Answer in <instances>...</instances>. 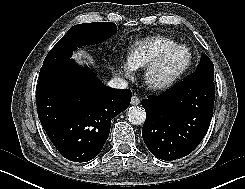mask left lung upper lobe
I'll use <instances>...</instances> for the list:
<instances>
[{
    "mask_svg": "<svg viewBox=\"0 0 245 189\" xmlns=\"http://www.w3.org/2000/svg\"><path fill=\"white\" fill-rule=\"evenodd\" d=\"M195 72H203L214 77V65L204 53L201 55L200 63Z\"/></svg>",
    "mask_w": 245,
    "mask_h": 189,
    "instance_id": "left-lung-upper-lobe-1",
    "label": "left lung upper lobe"
}]
</instances>
